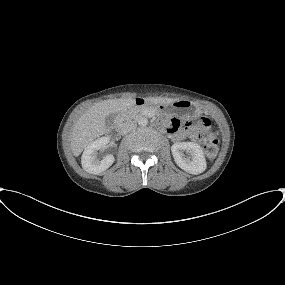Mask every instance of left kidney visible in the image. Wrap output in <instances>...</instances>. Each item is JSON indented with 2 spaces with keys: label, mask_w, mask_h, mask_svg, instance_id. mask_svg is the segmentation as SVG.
<instances>
[{
  "label": "left kidney",
  "mask_w": 285,
  "mask_h": 285,
  "mask_svg": "<svg viewBox=\"0 0 285 285\" xmlns=\"http://www.w3.org/2000/svg\"><path fill=\"white\" fill-rule=\"evenodd\" d=\"M175 163L184 171L197 175L206 170V160L200 145L194 142H177L171 146ZM184 151L190 156L185 157Z\"/></svg>",
  "instance_id": "left-kidney-1"
}]
</instances>
